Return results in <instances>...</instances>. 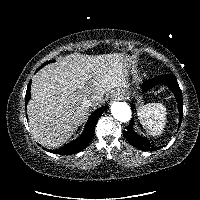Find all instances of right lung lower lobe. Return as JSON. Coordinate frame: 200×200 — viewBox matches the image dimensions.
Returning a JSON list of instances; mask_svg holds the SVG:
<instances>
[{"instance_id": "right-lung-lower-lobe-1", "label": "right lung lower lobe", "mask_w": 200, "mask_h": 200, "mask_svg": "<svg viewBox=\"0 0 200 200\" xmlns=\"http://www.w3.org/2000/svg\"><path fill=\"white\" fill-rule=\"evenodd\" d=\"M30 86H31V81L29 82L27 86V91L25 95V105H27L31 97ZM106 109L107 107H101L90 116L84 128V131L79 138L66 144L65 146L59 149L51 150L50 152L55 153V154H61V155H70V154L78 153L81 150H83L91 141L93 134L95 132V126H96L97 120L99 119L101 113L105 111Z\"/></svg>"}]
</instances>
